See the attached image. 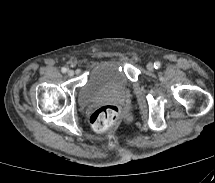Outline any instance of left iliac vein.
<instances>
[{
    "instance_id": "4c4485c4",
    "label": "left iliac vein",
    "mask_w": 215,
    "mask_h": 183,
    "mask_svg": "<svg viewBox=\"0 0 215 183\" xmlns=\"http://www.w3.org/2000/svg\"><path fill=\"white\" fill-rule=\"evenodd\" d=\"M147 69H148L149 71H153V70H154V65H153L152 63H148V64H147Z\"/></svg>"
}]
</instances>
